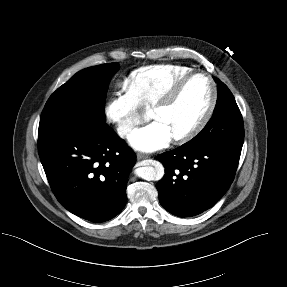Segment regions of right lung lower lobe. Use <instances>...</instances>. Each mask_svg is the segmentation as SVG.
<instances>
[{"label":"right lung lower lobe","instance_id":"1","mask_svg":"<svg viewBox=\"0 0 287 287\" xmlns=\"http://www.w3.org/2000/svg\"><path fill=\"white\" fill-rule=\"evenodd\" d=\"M38 152L52 191L71 213L100 223L124 208L136 155L108 125L38 139Z\"/></svg>","mask_w":287,"mask_h":287}]
</instances>
